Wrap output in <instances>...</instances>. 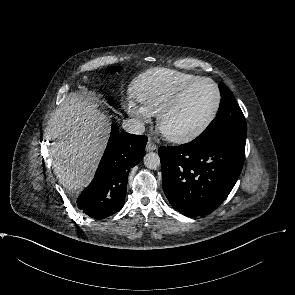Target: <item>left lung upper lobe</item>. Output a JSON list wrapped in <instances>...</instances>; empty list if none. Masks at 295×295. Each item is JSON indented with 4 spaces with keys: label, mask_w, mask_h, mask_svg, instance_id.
I'll return each instance as SVG.
<instances>
[{
    "label": "left lung upper lobe",
    "mask_w": 295,
    "mask_h": 295,
    "mask_svg": "<svg viewBox=\"0 0 295 295\" xmlns=\"http://www.w3.org/2000/svg\"><path fill=\"white\" fill-rule=\"evenodd\" d=\"M221 102L217 116L194 140L201 142L213 138H224L245 145L247 126L245 117L234 95L224 83L219 84Z\"/></svg>",
    "instance_id": "left-lung-upper-lobe-1"
}]
</instances>
